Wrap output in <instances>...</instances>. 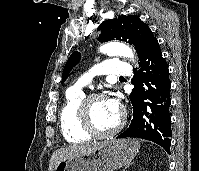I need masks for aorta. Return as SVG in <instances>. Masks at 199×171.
I'll list each match as a JSON object with an SVG mask.
<instances>
[{"label": "aorta", "mask_w": 199, "mask_h": 171, "mask_svg": "<svg viewBox=\"0 0 199 171\" xmlns=\"http://www.w3.org/2000/svg\"><path fill=\"white\" fill-rule=\"evenodd\" d=\"M102 53L108 55H119L130 59L134 58L132 50L123 43L109 42L100 47Z\"/></svg>", "instance_id": "762f6f07"}]
</instances>
